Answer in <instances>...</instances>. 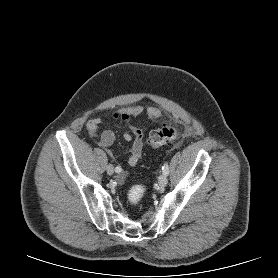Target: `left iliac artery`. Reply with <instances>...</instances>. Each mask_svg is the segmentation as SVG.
<instances>
[{
	"label": "left iliac artery",
	"mask_w": 278,
	"mask_h": 278,
	"mask_svg": "<svg viewBox=\"0 0 278 278\" xmlns=\"http://www.w3.org/2000/svg\"><path fill=\"white\" fill-rule=\"evenodd\" d=\"M162 170H163V173L165 175L169 174V167H168V163L167 162H165L164 165L162 166Z\"/></svg>",
	"instance_id": "left-iliac-artery-1"
}]
</instances>
